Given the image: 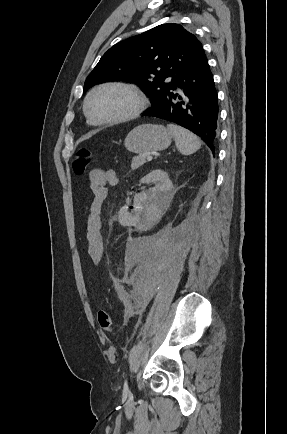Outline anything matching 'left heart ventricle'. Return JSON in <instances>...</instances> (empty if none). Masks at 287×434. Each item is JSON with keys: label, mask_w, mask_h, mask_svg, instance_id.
Wrapping results in <instances>:
<instances>
[{"label": "left heart ventricle", "mask_w": 287, "mask_h": 434, "mask_svg": "<svg viewBox=\"0 0 287 434\" xmlns=\"http://www.w3.org/2000/svg\"><path fill=\"white\" fill-rule=\"evenodd\" d=\"M135 97L119 87H106L91 98L89 110L96 119H113L126 115L135 106Z\"/></svg>", "instance_id": "1"}]
</instances>
